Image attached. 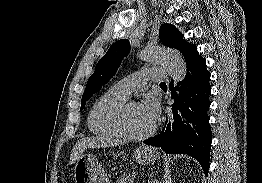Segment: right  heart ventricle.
Masks as SVG:
<instances>
[{
  "mask_svg": "<svg viewBox=\"0 0 262 183\" xmlns=\"http://www.w3.org/2000/svg\"><path fill=\"white\" fill-rule=\"evenodd\" d=\"M127 100V97L109 89L91 107L87 124L89 130L100 137L120 138L113 122L114 115L118 108Z\"/></svg>",
  "mask_w": 262,
  "mask_h": 183,
  "instance_id": "right-heart-ventricle-1",
  "label": "right heart ventricle"
}]
</instances>
